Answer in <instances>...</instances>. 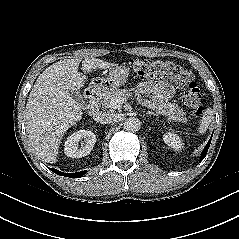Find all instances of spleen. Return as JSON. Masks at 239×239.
<instances>
[{"label": "spleen", "mask_w": 239, "mask_h": 239, "mask_svg": "<svg viewBox=\"0 0 239 239\" xmlns=\"http://www.w3.org/2000/svg\"><path fill=\"white\" fill-rule=\"evenodd\" d=\"M213 119V110L208 108L205 110L203 117L200 122L199 133H205L209 128V125Z\"/></svg>", "instance_id": "1"}]
</instances>
